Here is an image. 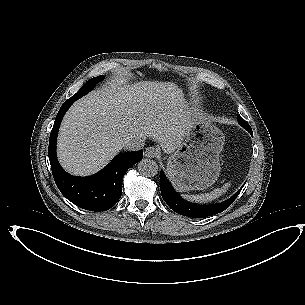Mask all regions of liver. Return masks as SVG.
Returning a JSON list of instances; mask_svg holds the SVG:
<instances>
[{
  "instance_id": "1",
  "label": "liver",
  "mask_w": 305,
  "mask_h": 305,
  "mask_svg": "<svg viewBox=\"0 0 305 305\" xmlns=\"http://www.w3.org/2000/svg\"><path fill=\"white\" fill-rule=\"evenodd\" d=\"M172 89L178 88L169 84ZM145 86L134 83L106 92H93L73 103L59 129L57 157L75 176H89L104 168L125 139L160 143L168 153L181 144L193 117L186 108L154 110Z\"/></svg>"
}]
</instances>
